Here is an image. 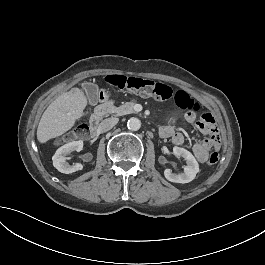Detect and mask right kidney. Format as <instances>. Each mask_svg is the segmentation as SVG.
I'll return each instance as SVG.
<instances>
[{"label": "right kidney", "instance_id": "1", "mask_svg": "<svg viewBox=\"0 0 265 265\" xmlns=\"http://www.w3.org/2000/svg\"><path fill=\"white\" fill-rule=\"evenodd\" d=\"M84 145V139H80L77 141L70 142L68 144L63 145L52 157L53 166L61 173L71 174L76 171L83 170V164L76 162L70 165L67 163L66 156L73 151H81Z\"/></svg>", "mask_w": 265, "mask_h": 265}]
</instances>
